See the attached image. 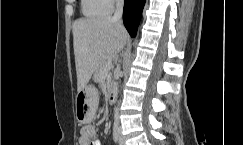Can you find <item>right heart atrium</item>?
<instances>
[{
  "mask_svg": "<svg viewBox=\"0 0 243 145\" xmlns=\"http://www.w3.org/2000/svg\"><path fill=\"white\" fill-rule=\"evenodd\" d=\"M122 0H104V2L106 3V5L111 9L113 8L114 5H116L117 3L121 2Z\"/></svg>",
  "mask_w": 243,
  "mask_h": 145,
  "instance_id": "right-heart-atrium-1",
  "label": "right heart atrium"
}]
</instances>
